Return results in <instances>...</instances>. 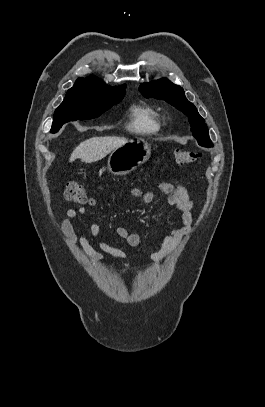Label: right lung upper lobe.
Masks as SVG:
<instances>
[{
    "instance_id": "cb5924a9",
    "label": "right lung upper lobe",
    "mask_w": 265,
    "mask_h": 407,
    "mask_svg": "<svg viewBox=\"0 0 265 407\" xmlns=\"http://www.w3.org/2000/svg\"><path fill=\"white\" fill-rule=\"evenodd\" d=\"M77 82H89V83L104 85L103 83L99 82L94 76L87 77V78H78L76 83ZM104 86H106V85H104Z\"/></svg>"
}]
</instances>
